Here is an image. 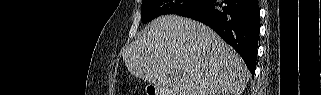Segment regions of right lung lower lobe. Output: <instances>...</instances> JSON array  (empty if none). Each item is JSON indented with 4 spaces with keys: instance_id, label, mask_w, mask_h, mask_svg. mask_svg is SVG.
Masks as SVG:
<instances>
[{
    "instance_id": "1",
    "label": "right lung lower lobe",
    "mask_w": 321,
    "mask_h": 95,
    "mask_svg": "<svg viewBox=\"0 0 321 95\" xmlns=\"http://www.w3.org/2000/svg\"><path fill=\"white\" fill-rule=\"evenodd\" d=\"M259 11L258 0H207L197 13L185 17L210 26L240 54L254 75Z\"/></svg>"
}]
</instances>
